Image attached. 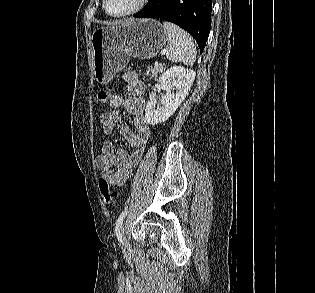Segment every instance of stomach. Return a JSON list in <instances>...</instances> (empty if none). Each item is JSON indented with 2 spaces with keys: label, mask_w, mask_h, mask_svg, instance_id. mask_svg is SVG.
Segmentation results:
<instances>
[{
  "label": "stomach",
  "mask_w": 315,
  "mask_h": 293,
  "mask_svg": "<svg viewBox=\"0 0 315 293\" xmlns=\"http://www.w3.org/2000/svg\"><path fill=\"white\" fill-rule=\"evenodd\" d=\"M167 41L165 28L153 19H138L117 26L101 27L91 35L94 79L110 82L131 57L151 59Z\"/></svg>",
  "instance_id": "0dacf381"
}]
</instances>
